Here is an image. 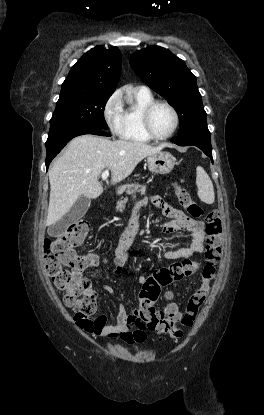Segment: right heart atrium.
<instances>
[{
	"label": "right heart atrium",
	"instance_id": "d8ad5b80",
	"mask_svg": "<svg viewBox=\"0 0 264 415\" xmlns=\"http://www.w3.org/2000/svg\"><path fill=\"white\" fill-rule=\"evenodd\" d=\"M104 118L109 128L119 134L123 124V106L118 93H113L103 108Z\"/></svg>",
	"mask_w": 264,
	"mask_h": 415
}]
</instances>
